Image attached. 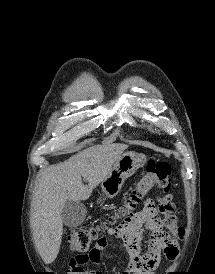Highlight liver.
I'll return each instance as SVG.
<instances>
[{
	"instance_id": "1",
	"label": "liver",
	"mask_w": 215,
	"mask_h": 274,
	"mask_svg": "<svg viewBox=\"0 0 215 274\" xmlns=\"http://www.w3.org/2000/svg\"><path fill=\"white\" fill-rule=\"evenodd\" d=\"M127 148L124 144L92 146L42 173L35 186L31 226L35 246L46 264L52 263L59 253L65 201L87 200ZM82 177L88 185L83 184Z\"/></svg>"
}]
</instances>
